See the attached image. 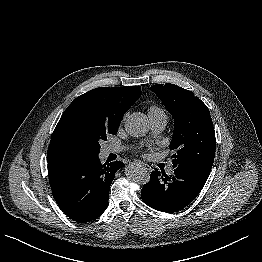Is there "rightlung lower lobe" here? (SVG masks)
Masks as SVG:
<instances>
[{
	"mask_svg": "<svg viewBox=\"0 0 262 262\" xmlns=\"http://www.w3.org/2000/svg\"><path fill=\"white\" fill-rule=\"evenodd\" d=\"M120 161L101 164L92 157L48 158L53 197L61 210L80 223L95 220L108 207L109 188Z\"/></svg>",
	"mask_w": 262,
	"mask_h": 262,
	"instance_id": "1",
	"label": "right lung lower lobe"
}]
</instances>
